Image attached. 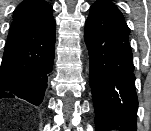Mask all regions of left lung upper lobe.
Instances as JSON below:
<instances>
[{
	"label": "left lung upper lobe",
	"mask_w": 151,
	"mask_h": 131,
	"mask_svg": "<svg viewBox=\"0 0 151 131\" xmlns=\"http://www.w3.org/2000/svg\"><path fill=\"white\" fill-rule=\"evenodd\" d=\"M96 3H111V1H109V0H98L94 4H96Z\"/></svg>",
	"instance_id": "1"
}]
</instances>
